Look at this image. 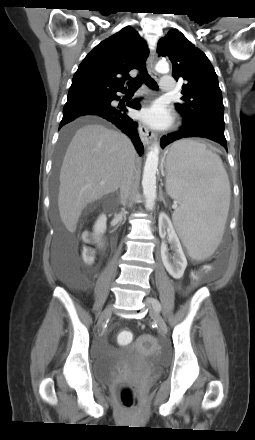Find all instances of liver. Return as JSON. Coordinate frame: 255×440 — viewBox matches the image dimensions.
<instances>
[{"label":"liver","instance_id":"1","mask_svg":"<svg viewBox=\"0 0 255 440\" xmlns=\"http://www.w3.org/2000/svg\"><path fill=\"white\" fill-rule=\"evenodd\" d=\"M130 159L135 164L137 154L124 134L100 124L76 131L59 176V215L68 231H75L87 204L118 190Z\"/></svg>","mask_w":255,"mask_h":440}]
</instances>
